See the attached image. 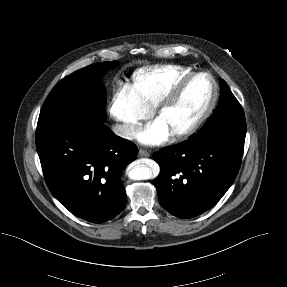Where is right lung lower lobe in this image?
<instances>
[{
    "instance_id": "right-lung-lower-lobe-1",
    "label": "right lung lower lobe",
    "mask_w": 287,
    "mask_h": 287,
    "mask_svg": "<svg viewBox=\"0 0 287 287\" xmlns=\"http://www.w3.org/2000/svg\"><path fill=\"white\" fill-rule=\"evenodd\" d=\"M96 118L80 116L36 130V148L46 184L71 213L103 223L125 207L121 181L134 161L136 146L116 136Z\"/></svg>"
}]
</instances>
